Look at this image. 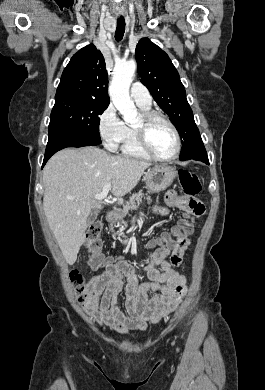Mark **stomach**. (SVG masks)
Segmentation results:
<instances>
[{
  "instance_id": "obj_1",
  "label": "stomach",
  "mask_w": 265,
  "mask_h": 390,
  "mask_svg": "<svg viewBox=\"0 0 265 390\" xmlns=\"http://www.w3.org/2000/svg\"><path fill=\"white\" fill-rule=\"evenodd\" d=\"M177 175L175 168L170 166H156L146 174V188L150 193H158L166 190Z\"/></svg>"
}]
</instances>
